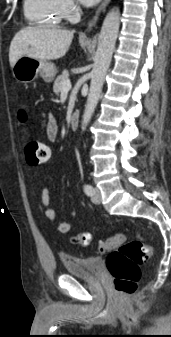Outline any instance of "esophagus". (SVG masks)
<instances>
[{"label":"esophagus","instance_id":"esophagus-1","mask_svg":"<svg viewBox=\"0 0 171 337\" xmlns=\"http://www.w3.org/2000/svg\"><path fill=\"white\" fill-rule=\"evenodd\" d=\"M111 0H103L101 5L98 7V9L95 12V16L93 19L89 22L87 30L90 31L93 26L95 25L100 13L106 8V6L109 4Z\"/></svg>","mask_w":171,"mask_h":337}]
</instances>
